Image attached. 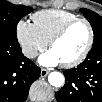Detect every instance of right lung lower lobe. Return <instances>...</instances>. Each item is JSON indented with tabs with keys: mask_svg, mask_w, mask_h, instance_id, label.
<instances>
[{
	"mask_svg": "<svg viewBox=\"0 0 102 102\" xmlns=\"http://www.w3.org/2000/svg\"><path fill=\"white\" fill-rule=\"evenodd\" d=\"M40 68L22 52L18 41L0 39V101L24 102Z\"/></svg>",
	"mask_w": 102,
	"mask_h": 102,
	"instance_id": "obj_1",
	"label": "right lung lower lobe"
}]
</instances>
